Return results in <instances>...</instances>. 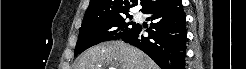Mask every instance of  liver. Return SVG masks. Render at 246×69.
Masks as SVG:
<instances>
[{
  "label": "liver",
  "mask_w": 246,
  "mask_h": 69,
  "mask_svg": "<svg viewBox=\"0 0 246 69\" xmlns=\"http://www.w3.org/2000/svg\"><path fill=\"white\" fill-rule=\"evenodd\" d=\"M75 69H159L145 53L122 41L101 43L88 49Z\"/></svg>",
  "instance_id": "liver-1"
}]
</instances>
